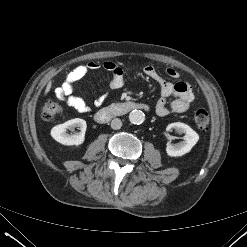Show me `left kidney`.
Here are the masks:
<instances>
[{"label": "left kidney", "instance_id": "obj_1", "mask_svg": "<svg viewBox=\"0 0 247 247\" xmlns=\"http://www.w3.org/2000/svg\"><path fill=\"white\" fill-rule=\"evenodd\" d=\"M171 129H175L178 133H185L183 142L175 145H172L170 142L167 143L166 151L171 157H180L190 152L199 140V135L190 126L184 123H171L167 126L166 130L171 131Z\"/></svg>", "mask_w": 247, "mask_h": 247}]
</instances>
